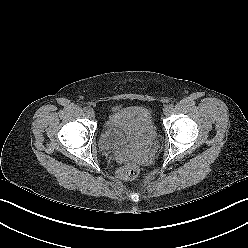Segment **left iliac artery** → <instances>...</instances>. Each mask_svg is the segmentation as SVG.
<instances>
[{
	"mask_svg": "<svg viewBox=\"0 0 248 248\" xmlns=\"http://www.w3.org/2000/svg\"><path fill=\"white\" fill-rule=\"evenodd\" d=\"M170 107L173 108V105L171 104Z\"/></svg>",
	"mask_w": 248,
	"mask_h": 248,
	"instance_id": "1",
	"label": "left iliac artery"
}]
</instances>
